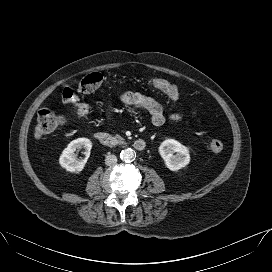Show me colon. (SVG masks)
Returning <instances> with one entry per match:
<instances>
[{
	"mask_svg": "<svg viewBox=\"0 0 272 272\" xmlns=\"http://www.w3.org/2000/svg\"><path fill=\"white\" fill-rule=\"evenodd\" d=\"M103 82V76L100 73H92L83 78L76 87H66L62 92V102L68 108H71L77 115L86 116L89 113V106L81 101L80 96H89L94 94ZM148 84L167 94L171 99L178 100L179 90L176 86L161 79H152ZM64 122L63 115L50 109H41L37 114L35 125V137L42 139L55 131L58 126ZM224 144L219 139H212L209 143V149L213 153H220Z\"/></svg>",
	"mask_w": 272,
	"mask_h": 272,
	"instance_id": "1",
	"label": "colon"
}]
</instances>
